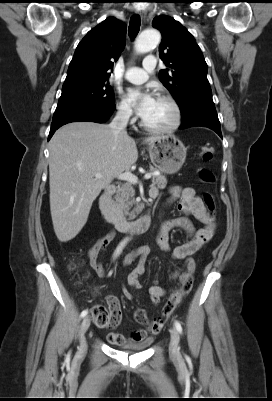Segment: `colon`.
Wrapping results in <instances>:
<instances>
[{"label":"colon","instance_id":"obj_1","mask_svg":"<svg viewBox=\"0 0 272 401\" xmlns=\"http://www.w3.org/2000/svg\"><path fill=\"white\" fill-rule=\"evenodd\" d=\"M214 155V148L210 145H204L200 149V158L203 162H209L213 158ZM199 176L205 183H213L214 182V174L213 172L205 166H201L199 168ZM204 203L208 209V214L210 217L213 216L214 213V199L210 193L204 194ZM78 262H73L70 267L75 269L78 266ZM192 286L191 278L187 279L181 287L175 291L173 294L170 295L166 304L163 307L162 315L155 319L154 321L148 320L146 315L143 311L139 310L137 312V320L143 324H151V323H163L165 322L170 315L172 314L173 310L177 307L180 303L182 298L190 291ZM92 318L96 325L101 327L111 326L112 324V314L108 307H96L92 310Z\"/></svg>","mask_w":272,"mask_h":401}]
</instances>
